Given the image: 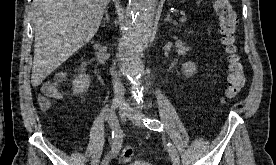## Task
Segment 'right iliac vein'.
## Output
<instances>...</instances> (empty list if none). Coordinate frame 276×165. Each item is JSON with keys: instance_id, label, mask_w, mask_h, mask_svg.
Returning a JSON list of instances; mask_svg holds the SVG:
<instances>
[{"instance_id": "obj_1", "label": "right iliac vein", "mask_w": 276, "mask_h": 165, "mask_svg": "<svg viewBox=\"0 0 276 165\" xmlns=\"http://www.w3.org/2000/svg\"><path fill=\"white\" fill-rule=\"evenodd\" d=\"M121 107V103L119 101H113L111 108L109 109V113L113 116L116 117L115 111ZM108 158H105L101 165H108Z\"/></svg>"}]
</instances>
